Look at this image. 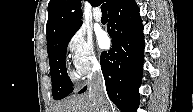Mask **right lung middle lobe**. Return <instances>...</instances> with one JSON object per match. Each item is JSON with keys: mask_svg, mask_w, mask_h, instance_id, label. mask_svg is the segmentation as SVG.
Listing matches in <instances>:
<instances>
[{"mask_svg": "<svg viewBox=\"0 0 193 112\" xmlns=\"http://www.w3.org/2000/svg\"><path fill=\"white\" fill-rule=\"evenodd\" d=\"M80 26L70 28L58 34L48 45L52 95L55 100L62 99L73 91L67 74L65 56L68 43Z\"/></svg>", "mask_w": 193, "mask_h": 112, "instance_id": "right-lung-middle-lobe-1", "label": "right lung middle lobe"}]
</instances>
